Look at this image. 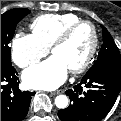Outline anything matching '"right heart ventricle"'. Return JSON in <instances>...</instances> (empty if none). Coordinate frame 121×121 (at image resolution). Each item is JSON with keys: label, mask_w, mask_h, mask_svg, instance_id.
I'll list each match as a JSON object with an SVG mask.
<instances>
[{"label": "right heart ventricle", "mask_w": 121, "mask_h": 121, "mask_svg": "<svg viewBox=\"0 0 121 121\" xmlns=\"http://www.w3.org/2000/svg\"><path fill=\"white\" fill-rule=\"evenodd\" d=\"M79 20L81 18L72 13L45 14L36 17L30 27L33 35L49 48L65 28Z\"/></svg>", "instance_id": "e07e8e85"}]
</instances>
